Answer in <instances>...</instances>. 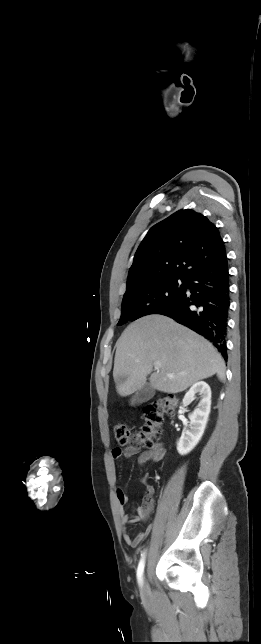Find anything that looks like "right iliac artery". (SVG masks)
I'll list each match as a JSON object with an SVG mask.
<instances>
[{
    "mask_svg": "<svg viewBox=\"0 0 261 644\" xmlns=\"http://www.w3.org/2000/svg\"><path fill=\"white\" fill-rule=\"evenodd\" d=\"M144 565H145V553L142 554V557L140 559V562L137 568V579L140 584H142L143 582Z\"/></svg>",
    "mask_w": 261,
    "mask_h": 644,
    "instance_id": "1",
    "label": "right iliac artery"
}]
</instances>
